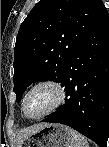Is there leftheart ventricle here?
Listing matches in <instances>:
<instances>
[{"label":"left heart ventricle","instance_id":"b2bd125f","mask_svg":"<svg viewBox=\"0 0 109 147\" xmlns=\"http://www.w3.org/2000/svg\"><path fill=\"white\" fill-rule=\"evenodd\" d=\"M55 98L56 94L53 89H37L27 99V110L33 115H39L52 105Z\"/></svg>","mask_w":109,"mask_h":147}]
</instances>
